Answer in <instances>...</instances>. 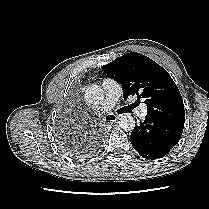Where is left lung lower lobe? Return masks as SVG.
Instances as JSON below:
<instances>
[{
  "label": "left lung lower lobe",
  "instance_id": "0a47b994",
  "mask_svg": "<svg viewBox=\"0 0 209 209\" xmlns=\"http://www.w3.org/2000/svg\"><path fill=\"white\" fill-rule=\"evenodd\" d=\"M184 126L162 122L146 116L133 129L130 141L140 156L146 159L164 157L180 140Z\"/></svg>",
  "mask_w": 209,
  "mask_h": 209
}]
</instances>
